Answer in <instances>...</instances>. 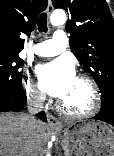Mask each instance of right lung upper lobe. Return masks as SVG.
I'll return each instance as SVG.
<instances>
[{
	"instance_id": "1",
	"label": "right lung upper lobe",
	"mask_w": 114,
	"mask_h": 156,
	"mask_svg": "<svg viewBox=\"0 0 114 156\" xmlns=\"http://www.w3.org/2000/svg\"><path fill=\"white\" fill-rule=\"evenodd\" d=\"M47 0H0V54L18 55L24 47L22 33L29 35Z\"/></svg>"
}]
</instances>
